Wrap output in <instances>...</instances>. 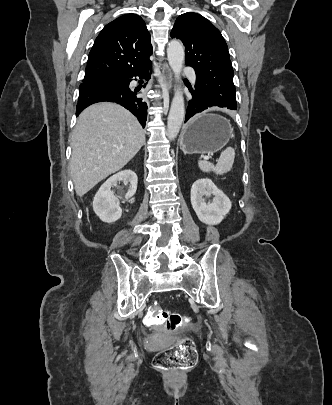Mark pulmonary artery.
<instances>
[{
  "instance_id": "pulmonary-artery-1",
  "label": "pulmonary artery",
  "mask_w": 332,
  "mask_h": 405,
  "mask_svg": "<svg viewBox=\"0 0 332 405\" xmlns=\"http://www.w3.org/2000/svg\"><path fill=\"white\" fill-rule=\"evenodd\" d=\"M184 72L186 73V75L193 81H196V75L194 73V71L190 68H185Z\"/></svg>"
}]
</instances>
